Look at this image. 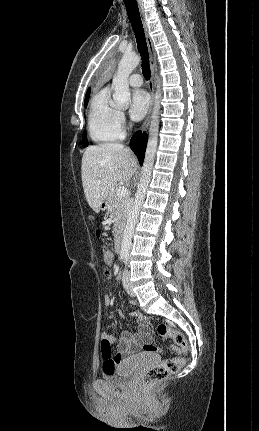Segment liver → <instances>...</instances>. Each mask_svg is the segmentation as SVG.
<instances>
[{"mask_svg":"<svg viewBox=\"0 0 259 431\" xmlns=\"http://www.w3.org/2000/svg\"><path fill=\"white\" fill-rule=\"evenodd\" d=\"M138 168L132 152L119 143L89 146L82 157L81 174L89 206L98 213L117 182L130 181Z\"/></svg>","mask_w":259,"mask_h":431,"instance_id":"liver-1","label":"liver"}]
</instances>
